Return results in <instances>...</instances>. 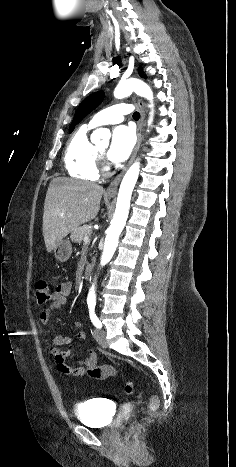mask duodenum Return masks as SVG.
I'll return each instance as SVG.
<instances>
[{"label":"duodenum","instance_id":"duodenum-1","mask_svg":"<svg viewBox=\"0 0 236 467\" xmlns=\"http://www.w3.org/2000/svg\"><path fill=\"white\" fill-rule=\"evenodd\" d=\"M92 270H93L92 262L87 263L83 270V278L87 279L91 275Z\"/></svg>","mask_w":236,"mask_h":467}]
</instances>
